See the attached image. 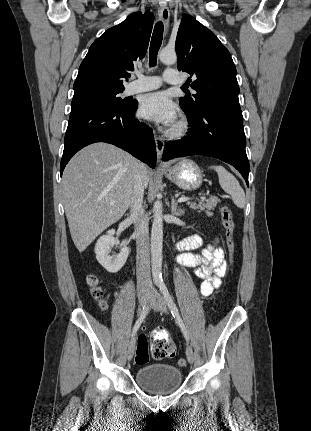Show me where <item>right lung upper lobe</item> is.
Returning a JSON list of instances; mask_svg holds the SVG:
<instances>
[{"label":"right lung upper lobe","instance_id":"obj_1","mask_svg":"<svg viewBox=\"0 0 311 431\" xmlns=\"http://www.w3.org/2000/svg\"><path fill=\"white\" fill-rule=\"evenodd\" d=\"M154 15L135 12L95 40L82 61L74 82V94L88 91H123L133 62L147 51Z\"/></svg>","mask_w":311,"mask_h":431}]
</instances>
